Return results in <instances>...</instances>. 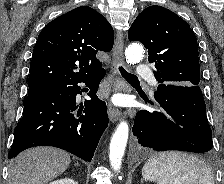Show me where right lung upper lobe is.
Wrapping results in <instances>:
<instances>
[{"label": "right lung upper lobe", "instance_id": "right-lung-upper-lobe-1", "mask_svg": "<svg viewBox=\"0 0 224 184\" xmlns=\"http://www.w3.org/2000/svg\"><path fill=\"white\" fill-rule=\"evenodd\" d=\"M114 31L88 6L78 7L48 23L40 32L30 65L29 87H47L98 74L99 50L109 52Z\"/></svg>", "mask_w": 224, "mask_h": 184}]
</instances>
